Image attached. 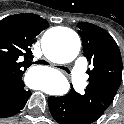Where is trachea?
Wrapping results in <instances>:
<instances>
[{
	"instance_id": "3493384b",
	"label": "trachea",
	"mask_w": 124,
	"mask_h": 124,
	"mask_svg": "<svg viewBox=\"0 0 124 124\" xmlns=\"http://www.w3.org/2000/svg\"><path fill=\"white\" fill-rule=\"evenodd\" d=\"M63 70L67 71L68 73H70L69 69L62 67Z\"/></svg>"
}]
</instances>
